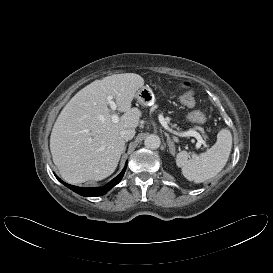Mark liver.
I'll return each mask as SVG.
<instances>
[{
  "instance_id": "1",
  "label": "liver",
  "mask_w": 273,
  "mask_h": 273,
  "mask_svg": "<svg viewBox=\"0 0 273 273\" xmlns=\"http://www.w3.org/2000/svg\"><path fill=\"white\" fill-rule=\"evenodd\" d=\"M144 79L135 73L114 74L81 89L63 108L50 136L53 162L71 184L102 180L116 169L125 141L120 132L134 129L142 115L131 108ZM113 96L124 114L111 119L107 97Z\"/></svg>"
}]
</instances>
